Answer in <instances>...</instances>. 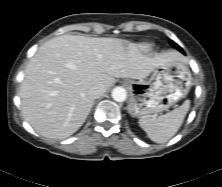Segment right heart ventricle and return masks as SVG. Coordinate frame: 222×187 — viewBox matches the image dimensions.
Wrapping results in <instances>:
<instances>
[{
	"label": "right heart ventricle",
	"instance_id": "right-heart-ventricle-1",
	"mask_svg": "<svg viewBox=\"0 0 222 187\" xmlns=\"http://www.w3.org/2000/svg\"><path fill=\"white\" fill-rule=\"evenodd\" d=\"M134 49L140 53H147L151 51L152 45L149 43H137L134 45Z\"/></svg>",
	"mask_w": 222,
	"mask_h": 187
}]
</instances>
